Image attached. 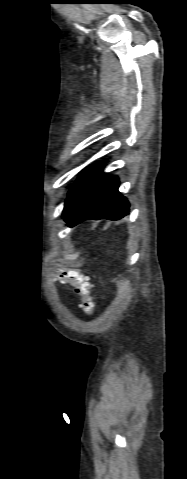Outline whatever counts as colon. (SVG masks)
Returning <instances> with one entry per match:
<instances>
[{"label": "colon", "instance_id": "colon-1", "mask_svg": "<svg viewBox=\"0 0 187 479\" xmlns=\"http://www.w3.org/2000/svg\"><path fill=\"white\" fill-rule=\"evenodd\" d=\"M66 275L69 276L73 283H74V290L75 292L81 296L82 299V309L86 315H92L94 312V298L93 295L90 293L88 284L84 281L82 277H80L75 272H66Z\"/></svg>", "mask_w": 187, "mask_h": 479}]
</instances>
